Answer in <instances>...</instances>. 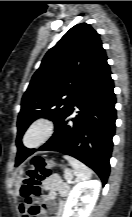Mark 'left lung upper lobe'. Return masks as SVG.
Masks as SVG:
<instances>
[{
	"mask_svg": "<svg viewBox=\"0 0 132 217\" xmlns=\"http://www.w3.org/2000/svg\"><path fill=\"white\" fill-rule=\"evenodd\" d=\"M106 60L99 34L87 23L73 26L46 53L23 95L17 141H21L28 126L40 117L52 120L56 128ZM24 149L29 153L34 151Z\"/></svg>",
	"mask_w": 132,
	"mask_h": 217,
	"instance_id": "obj_1",
	"label": "left lung upper lobe"
}]
</instances>
